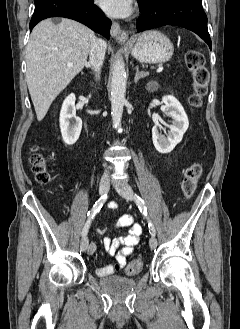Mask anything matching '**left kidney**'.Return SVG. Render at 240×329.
Segmentation results:
<instances>
[{"label": "left kidney", "instance_id": "1", "mask_svg": "<svg viewBox=\"0 0 240 329\" xmlns=\"http://www.w3.org/2000/svg\"><path fill=\"white\" fill-rule=\"evenodd\" d=\"M157 87L158 84L156 82H151L147 85L149 91H154ZM162 102L165 104V114L173 119L172 125L169 126L170 131L167 137L162 135L159 131V127L155 125L152 128V140L159 153L167 154L181 142L184 133L189 127V121L184 108L175 97L171 95L164 96Z\"/></svg>", "mask_w": 240, "mask_h": 329}]
</instances>
